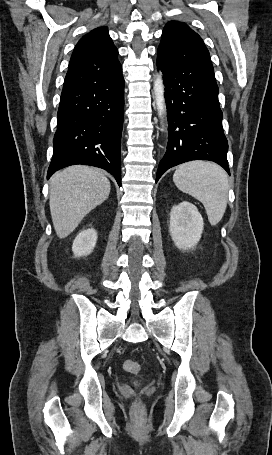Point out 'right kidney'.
Segmentation results:
<instances>
[{
  "label": "right kidney",
  "instance_id": "right-kidney-1",
  "mask_svg": "<svg viewBox=\"0 0 272 455\" xmlns=\"http://www.w3.org/2000/svg\"><path fill=\"white\" fill-rule=\"evenodd\" d=\"M97 242V232L93 228L85 229L79 232L74 239L72 251L75 257H83L89 255Z\"/></svg>",
  "mask_w": 272,
  "mask_h": 455
}]
</instances>
